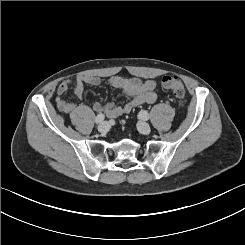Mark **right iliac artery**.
<instances>
[{
  "label": "right iliac artery",
  "mask_w": 245,
  "mask_h": 245,
  "mask_svg": "<svg viewBox=\"0 0 245 245\" xmlns=\"http://www.w3.org/2000/svg\"><path fill=\"white\" fill-rule=\"evenodd\" d=\"M104 119H105V116H104V114L101 113V114H98V115L96 116L95 122H96V124H99V123L103 122Z\"/></svg>",
  "instance_id": "82829eb1"
}]
</instances>
